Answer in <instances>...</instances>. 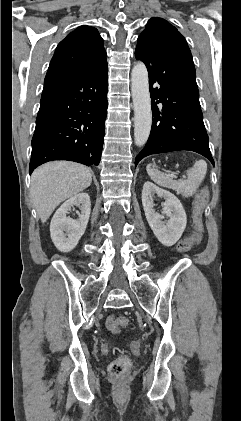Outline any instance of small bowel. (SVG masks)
<instances>
[{
    "instance_id": "small-bowel-1",
    "label": "small bowel",
    "mask_w": 241,
    "mask_h": 421,
    "mask_svg": "<svg viewBox=\"0 0 241 421\" xmlns=\"http://www.w3.org/2000/svg\"><path fill=\"white\" fill-rule=\"evenodd\" d=\"M193 237H194V239H195V241H198L199 240V238H200V235H199V233L198 232H195L194 234H193ZM106 326H107V328L109 329V330H111V331H113V332H116L117 331V328L114 326V324H113V316H109L108 318H107V321H106Z\"/></svg>"
}]
</instances>
